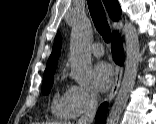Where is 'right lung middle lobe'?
I'll return each mask as SVG.
<instances>
[{
    "label": "right lung middle lobe",
    "mask_w": 156,
    "mask_h": 124,
    "mask_svg": "<svg viewBox=\"0 0 156 124\" xmlns=\"http://www.w3.org/2000/svg\"><path fill=\"white\" fill-rule=\"evenodd\" d=\"M53 85V75L43 77L42 93L48 94Z\"/></svg>",
    "instance_id": "dd1d6c3e"
}]
</instances>
